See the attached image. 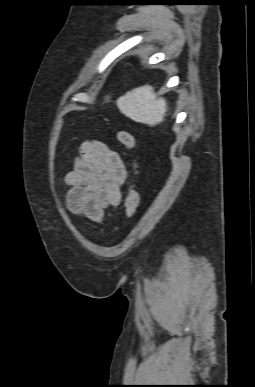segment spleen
<instances>
[{
	"label": "spleen",
	"instance_id": "spleen-1",
	"mask_svg": "<svg viewBox=\"0 0 255 387\" xmlns=\"http://www.w3.org/2000/svg\"><path fill=\"white\" fill-rule=\"evenodd\" d=\"M116 105L126 117L150 126L164 121L167 112L165 99L157 98L153 88L149 85L127 92L117 99Z\"/></svg>",
	"mask_w": 255,
	"mask_h": 387
}]
</instances>
